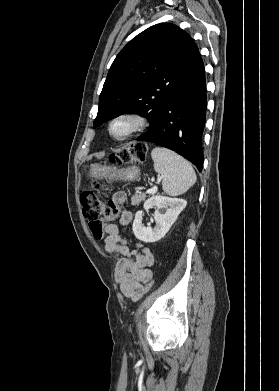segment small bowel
I'll list each match as a JSON object with an SVG mask.
<instances>
[{
    "mask_svg": "<svg viewBox=\"0 0 279 391\" xmlns=\"http://www.w3.org/2000/svg\"><path fill=\"white\" fill-rule=\"evenodd\" d=\"M113 203L116 205L127 204V195L123 191L113 194ZM133 214L129 209L122 212L119 224L105 223L103 231L106 234L104 241L106 251L122 255L118 260L115 270V278L124 296L133 301L140 299L144 294V286L152 278L150 267L154 263L151 251L142 244L137 249H132L121 237V227L129 224Z\"/></svg>",
    "mask_w": 279,
    "mask_h": 391,
    "instance_id": "small-bowel-1",
    "label": "small bowel"
}]
</instances>
